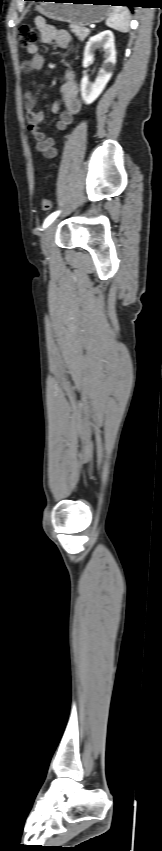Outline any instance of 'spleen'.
I'll return each instance as SVG.
<instances>
[{
	"label": "spleen",
	"instance_id": "obj_1",
	"mask_svg": "<svg viewBox=\"0 0 162 851\" xmlns=\"http://www.w3.org/2000/svg\"><path fill=\"white\" fill-rule=\"evenodd\" d=\"M111 15L106 20V25L120 32H128L130 13L126 7H111Z\"/></svg>",
	"mask_w": 162,
	"mask_h": 851
}]
</instances>
